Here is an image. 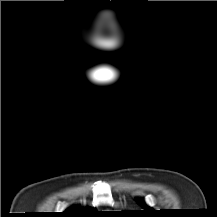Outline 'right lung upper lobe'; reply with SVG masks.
<instances>
[{
    "mask_svg": "<svg viewBox=\"0 0 217 217\" xmlns=\"http://www.w3.org/2000/svg\"><path fill=\"white\" fill-rule=\"evenodd\" d=\"M96 213L93 208L82 209L81 207H70L66 211L62 212V217H91Z\"/></svg>",
    "mask_w": 217,
    "mask_h": 217,
    "instance_id": "1",
    "label": "right lung upper lobe"
}]
</instances>
